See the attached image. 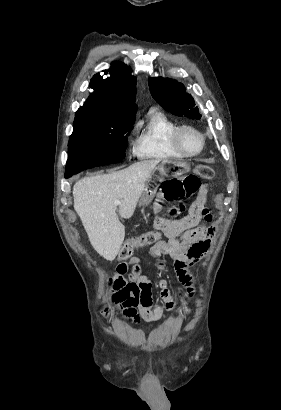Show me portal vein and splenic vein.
I'll list each match as a JSON object with an SVG mask.
<instances>
[{
    "mask_svg": "<svg viewBox=\"0 0 281 410\" xmlns=\"http://www.w3.org/2000/svg\"><path fill=\"white\" fill-rule=\"evenodd\" d=\"M120 203H121L120 200H115V202H114L115 206H117V205L120 204Z\"/></svg>",
    "mask_w": 281,
    "mask_h": 410,
    "instance_id": "portal-vein-and-splenic-vein-1",
    "label": "portal vein and splenic vein"
}]
</instances>
